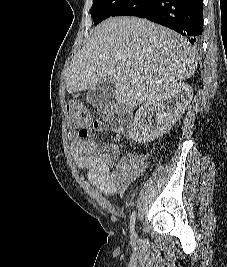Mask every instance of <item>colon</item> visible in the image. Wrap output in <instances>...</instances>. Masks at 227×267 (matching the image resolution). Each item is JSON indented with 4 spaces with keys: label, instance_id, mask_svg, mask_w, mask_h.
Wrapping results in <instances>:
<instances>
[{
    "label": "colon",
    "instance_id": "colon-1",
    "mask_svg": "<svg viewBox=\"0 0 227 267\" xmlns=\"http://www.w3.org/2000/svg\"><path fill=\"white\" fill-rule=\"evenodd\" d=\"M118 112V105L110 102L97 109V113L106 121H112ZM67 119L72 127H82L90 122L91 116L88 109L77 101H71L67 105ZM120 122H125V117H119Z\"/></svg>",
    "mask_w": 227,
    "mask_h": 267
}]
</instances>
